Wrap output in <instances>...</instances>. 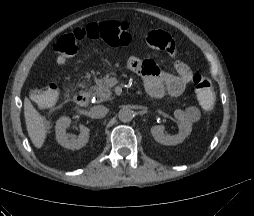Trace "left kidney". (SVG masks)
I'll return each mask as SVG.
<instances>
[{"label":"left kidney","mask_w":254,"mask_h":216,"mask_svg":"<svg viewBox=\"0 0 254 216\" xmlns=\"http://www.w3.org/2000/svg\"><path fill=\"white\" fill-rule=\"evenodd\" d=\"M174 117L179 120V132L176 135H165L163 125H155L151 128V134L155 141L163 145H177L191 134L192 123L187 119L184 111L177 109L174 111Z\"/></svg>","instance_id":"obj_1"}]
</instances>
